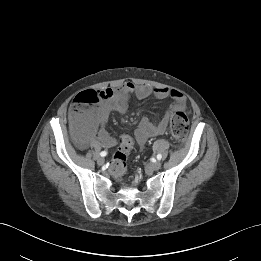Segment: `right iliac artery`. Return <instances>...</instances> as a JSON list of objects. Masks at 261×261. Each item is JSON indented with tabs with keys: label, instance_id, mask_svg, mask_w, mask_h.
Here are the masks:
<instances>
[{
	"label": "right iliac artery",
	"instance_id": "right-iliac-artery-1",
	"mask_svg": "<svg viewBox=\"0 0 261 261\" xmlns=\"http://www.w3.org/2000/svg\"><path fill=\"white\" fill-rule=\"evenodd\" d=\"M107 155V152L106 151H102L101 153H100V156L101 157H105Z\"/></svg>",
	"mask_w": 261,
	"mask_h": 261
}]
</instances>
